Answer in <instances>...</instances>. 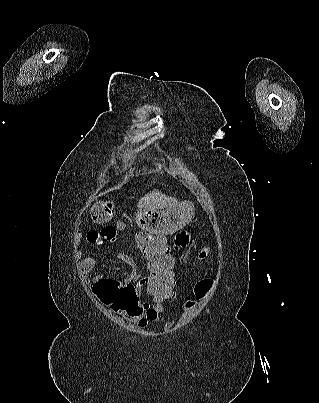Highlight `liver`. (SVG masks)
<instances>
[{
  "mask_svg": "<svg viewBox=\"0 0 319 403\" xmlns=\"http://www.w3.org/2000/svg\"><path fill=\"white\" fill-rule=\"evenodd\" d=\"M176 204H178L176 198L166 196L165 194L159 192V190H154L140 198L137 207L140 210H158L170 208Z\"/></svg>",
  "mask_w": 319,
  "mask_h": 403,
  "instance_id": "1",
  "label": "liver"
}]
</instances>
